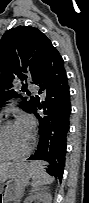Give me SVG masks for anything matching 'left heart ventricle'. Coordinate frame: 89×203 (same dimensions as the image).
<instances>
[{
  "label": "left heart ventricle",
  "mask_w": 89,
  "mask_h": 203,
  "mask_svg": "<svg viewBox=\"0 0 89 203\" xmlns=\"http://www.w3.org/2000/svg\"><path fill=\"white\" fill-rule=\"evenodd\" d=\"M5 137L6 145L11 153L24 149L29 142V135L16 124L9 125L6 128Z\"/></svg>",
  "instance_id": "left-heart-ventricle-1"
}]
</instances>
